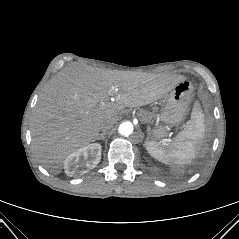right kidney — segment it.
Segmentation results:
<instances>
[{
	"mask_svg": "<svg viewBox=\"0 0 239 239\" xmlns=\"http://www.w3.org/2000/svg\"><path fill=\"white\" fill-rule=\"evenodd\" d=\"M101 145L88 144L69 154L64 161L65 173L72 176L83 175L95 168L101 160Z\"/></svg>",
	"mask_w": 239,
	"mask_h": 239,
	"instance_id": "right-kidney-1",
	"label": "right kidney"
}]
</instances>
